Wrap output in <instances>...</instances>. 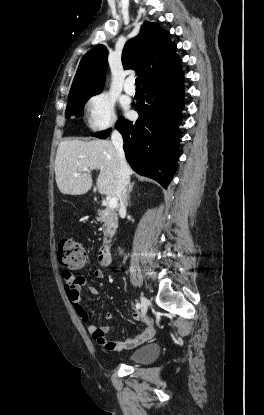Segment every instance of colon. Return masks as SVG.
<instances>
[{"instance_id":"colon-1","label":"colon","mask_w":264,"mask_h":415,"mask_svg":"<svg viewBox=\"0 0 264 415\" xmlns=\"http://www.w3.org/2000/svg\"><path fill=\"white\" fill-rule=\"evenodd\" d=\"M57 259L58 263L67 270L83 266L88 261L80 243L72 239H62L59 242Z\"/></svg>"}]
</instances>
